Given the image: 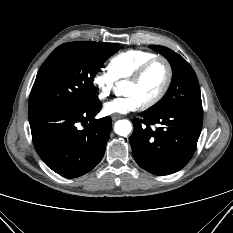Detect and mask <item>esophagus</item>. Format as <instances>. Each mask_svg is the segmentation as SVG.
Returning <instances> with one entry per match:
<instances>
[{"instance_id":"34e87169","label":"esophagus","mask_w":233,"mask_h":233,"mask_svg":"<svg viewBox=\"0 0 233 233\" xmlns=\"http://www.w3.org/2000/svg\"><path fill=\"white\" fill-rule=\"evenodd\" d=\"M120 117H121V115H119V114H113V115H111V118H112L113 121H116Z\"/></svg>"}]
</instances>
